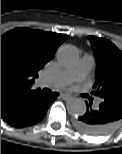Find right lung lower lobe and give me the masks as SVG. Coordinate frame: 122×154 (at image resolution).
<instances>
[{
  "label": "right lung lower lobe",
  "mask_w": 122,
  "mask_h": 154,
  "mask_svg": "<svg viewBox=\"0 0 122 154\" xmlns=\"http://www.w3.org/2000/svg\"><path fill=\"white\" fill-rule=\"evenodd\" d=\"M57 96L56 92L48 96L40 90L23 95L1 112V118L16 128L31 126L45 117L50 104Z\"/></svg>",
  "instance_id": "98d812e1"
}]
</instances>
